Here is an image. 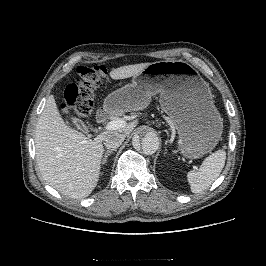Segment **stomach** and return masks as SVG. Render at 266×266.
I'll return each instance as SVG.
<instances>
[{
    "label": "stomach",
    "instance_id": "1",
    "mask_svg": "<svg viewBox=\"0 0 266 266\" xmlns=\"http://www.w3.org/2000/svg\"><path fill=\"white\" fill-rule=\"evenodd\" d=\"M156 94H160L161 108L177 130L183 156L197 159L217 145L223 123L210 87L192 65L182 60L150 63L133 76L132 83L109 94L104 108L142 110Z\"/></svg>",
    "mask_w": 266,
    "mask_h": 266
}]
</instances>
